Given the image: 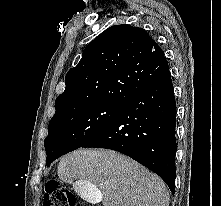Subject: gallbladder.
Listing matches in <instances>:
<instances>
[{"label":"gallbladder","instance_id":"1","mask_svg":"<svg viewBox=\"0 0 221 206\" xmlns=\"http://www.w3.org/2000/svg\"><path fill=\"white\" fill-rule=\"evenodd\" d=\"M75 186L84 202H89V205H100L103 193H100L97 185H90V181H75Z\"/></svg>","mask_w":221,"mask_h":206}]
</instances>
